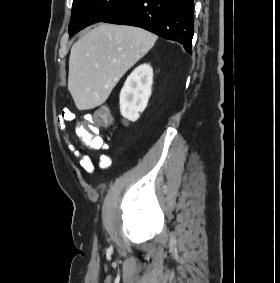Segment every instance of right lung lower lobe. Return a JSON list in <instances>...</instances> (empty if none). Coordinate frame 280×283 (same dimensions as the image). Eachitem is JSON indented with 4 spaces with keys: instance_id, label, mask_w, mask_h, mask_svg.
I'll use <instances>...</instances> for the list:
<instances>
[{
    "instance_id": "1",
    "label": "right lung lower lobe",
    "mask_w": 280,
    "mask_h": 283,
    "mask_svg": "<svg viewBox=\"0 0 280 283\" xmlns=\"http://www.w3.org/2000/svg\"><path fill=\"white\" fill-rule=\"evenodd\" d=\"M194 0H132L102 22L131 25L177 41L191 53Z\"/></svg>"
}]
</instances>
